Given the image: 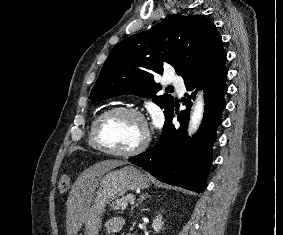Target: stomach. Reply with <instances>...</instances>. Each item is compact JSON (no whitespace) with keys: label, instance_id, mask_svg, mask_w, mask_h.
Instances as JSON below:
<instances>
[{"label":"stomach","instance_id":"1","mask_svg":"<svg viewBox=\"0 0 283 235\" xmlns=\"http://www.w3.org/2000/svg\"><path fill=\"white\" fill-rule=\"evenodd\" d=\"M150 185L146 174L134 166L108 171L98 182L85 217V235H97L107 203L127 191L145 189Z\"/></svg>","mask_w":283,"mask_h":235}]
</instances>
